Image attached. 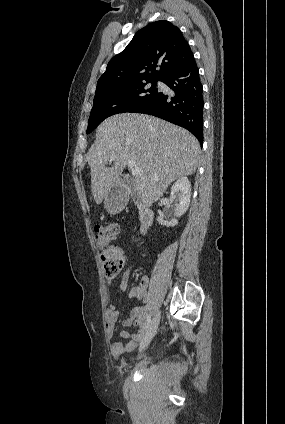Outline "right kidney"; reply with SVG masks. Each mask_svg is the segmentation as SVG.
<instances>
[{
    "label": "right kidney",
    "mask_w": 285,
    "mask_h": 424,
    "mask_svg": "<svg viewBox=\"0 0 285 424\" xmlns=\"http://www.w3.org/2000/svg\"><path fill=\"white\" fill-rule=\"evenodd\" d=\"M176 194H179V202L175 203V216H182L189 208L190 198H191V183L187 177L179 178L171 187L170 197L174 198ZM157 221L159 224L174 227L178 224L177 219H172L171 221H165L163 216H158Z\"/></svg>",
    "instance_id": "obj_1"
}]
</instances>
